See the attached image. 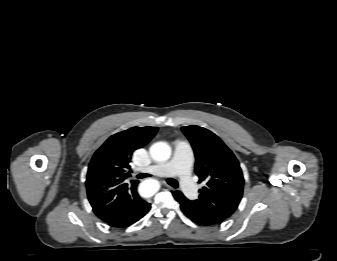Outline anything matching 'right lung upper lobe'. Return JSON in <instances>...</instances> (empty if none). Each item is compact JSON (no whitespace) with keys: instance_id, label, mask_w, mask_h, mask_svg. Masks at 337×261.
<instances>
[{"instance_id":"1","label":"right lung upper lobe","mask_w":337,"mask_h":261,"mask_svg":"<svg viewBox=\"0 0 337 261\" xmlns=\"http://www.w3.org/2000/svg\"><path fill=\"white\" fill-rule=\"evenodd\" d=\"M157 127H132L112 135L93 155L88 167L86 188L95 214L108 221L123 212L124 206L140 198L137 180L130 183L131 153L145 146Z\"/></svg>"}]
</instances>
